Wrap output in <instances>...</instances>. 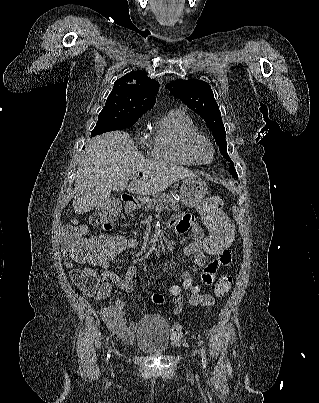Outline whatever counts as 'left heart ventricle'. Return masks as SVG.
Returning <instances> with one entry per match:
<instances>
[{
    "label": "left heart ventricle",
    "instance_id": "1",
    "mask_svg": "<svg viewBox=\"0 0 319 403\" xmlns=\"http://www.w3.org/2000/svg\"><path fill=\"white\" fill-rule=\"evenodd\" d=\"M198 153H199V157L204 161H208L211 158L210 147L205 143L199 144Z\"/></svg>",
    "mask_w": 319,
    "mask_h": 403
}]
</instances>
